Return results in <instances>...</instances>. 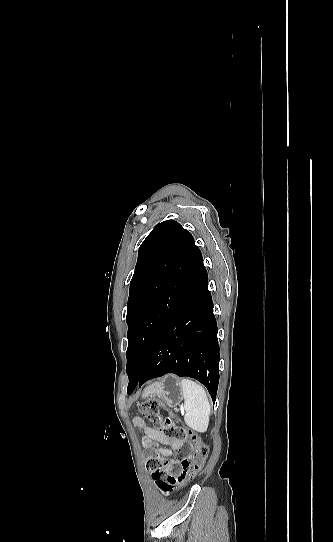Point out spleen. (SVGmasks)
<instances>
[{
    "instance_id": "1",
    "label": "spleen",
    "mask_w": 333,
    "mask_h": 542,
    "mask_svg": "<svg viewBox=\"0 0 333 542\" xmlns=\"http://www.w3.org/2000/svg\"><path fill=\"white\" fill-rule=\"evenodd\" d=\"M181 390L184 398V422L195 432H207L210 420V404L208 396L201 384L183 378Z\"/></svg>"
}]
</instances>
